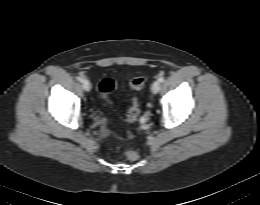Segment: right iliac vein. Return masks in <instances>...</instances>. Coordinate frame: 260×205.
Returning a JSON list of instances; mask_svg holds the SVG:
<instances>
[{
	"instance_id": "63e3f726",
	"label": "right iliac vein",
	"mask_w": 260,
	"mask_h": 205,
	"mask_svg": "<svg viewBox=\"0 0 260 205\" xmlns=\"http://www.w3.org/2000/svg\"><path fill=\"white\" fill-rule=\"evenodd\" d=\"M82 85H83V89L85 90V91H90L91 90V84H90V82L88 81V80H84L83 81V83H82Z\"/></svg>"
}]
</instances>
